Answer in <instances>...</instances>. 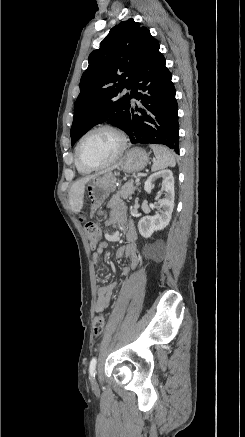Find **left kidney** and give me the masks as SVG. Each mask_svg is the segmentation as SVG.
Instances as JSON below:
<instances>
[{
  "instance_id": "obj_1",
  "label": "left kidney",
  "mask_w": 245,
  "mask_h": 437,
  "mask_svg": "<svg viewBox=\"0 0 245 437\" xmlns=\"http://www.w3.org/2000/svg\"><path fill=\"white\" fill-rule=\"evenodd\" d=\"M162 178L165 197L159 200V210L155 216H144L138 222V230L142 237L149 238L155 231L164 229L170 222L174 209V177L171 170H161L152 174L145 182L144 189L149 194L152 183Z\"/></svg>"
}]
</instances>
